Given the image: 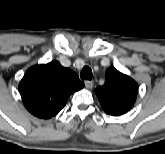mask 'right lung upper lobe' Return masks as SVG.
Segmentation results:
<instances>
[{
    "label": "right lung upper lobe",
    "mask_w": 165,
    "mask_h": 154,
    "mask_svg": "<svg viewBox=\"0 0 165 154\" xmlns=\"http://www.w3.org/2000/svg\"><path fill=\"white\" fill-rule=\"evenodd\" d=\"M83 86L74 71L52 61L29 68L19 84V91L30 113L48 119L58 114L69 96Z\"/></svg>",
    "instance_id": "right-lung-upper-lobe-1"
}]
</instances>
